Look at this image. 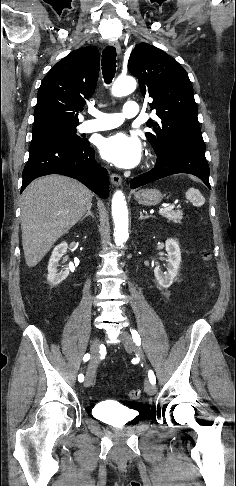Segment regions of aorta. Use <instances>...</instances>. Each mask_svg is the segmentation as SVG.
<instances>
[{
    "label": "aorta",
    "instance_id": "1",
    "mask_svg": "<svg viewBox=\"0 0 236 486\" xmlns=\"http://www.w3.org/2000/svg\"><path fill=\"white\" fill-rule=\"evenodd\" d=\"M136 89V81L132 77H120L112 86V95L122 97ZM112 216L115 224L114 238L117 246H123L129 237L128 210L122 191H116L112 198Z\"/></svg>",
    "mask_w": 236,
    "mask_h": 486
}]
</instances>
